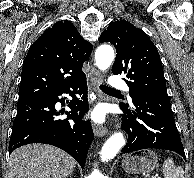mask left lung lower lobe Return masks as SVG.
Returning a JSON list of instances; mask_svg holds the SVG:
<instances>
[{"label": "left lung lower lobe", "mask_w": 194, "mask_h": 178, "mask_svg": "<svg viewBox=\"0 0 194 178\" xmlns=\"http://www.w3.org/2000/svg\"><path fill=\"white\" fill-rule=\"evenodd\" d=\"M132 108L120 104L124 115L123 128L128 142L123 153L156 148L174 151L186 160L184 147L176 128L169 96L134 92Z\"/></svg>", "instance_id": "obj_1"}]
</instances>
